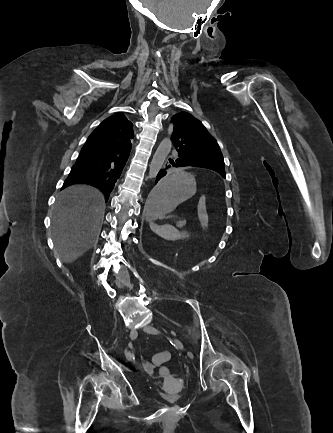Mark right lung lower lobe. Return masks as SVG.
I'll use <instances>...</instances> for the list:
<instances>
[{"label":"right lung lower lobe","mask_w":333,"mask_h":433,"mask_svg":"<svg viewBox=\"0 0 333 433\" xmlns=\"http://www.w3.org/2000/svg\"><path fill=\"white\" fill-rule=\"evenodd\" d=\"M130 150L131 146L100 151L95 147V141L90 138L83 146L62 188L78 183L90 184L103 191L107 201L122 173Z\"/></svg>","instance_id":"obj_1"}]
</instances>
